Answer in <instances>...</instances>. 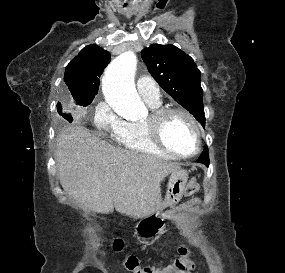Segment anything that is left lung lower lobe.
<instances>
[{"mask_svg": "<svg viewBox=\"0 0 285 273\" xmlns=\"http://www.w3.org/2000/svg\"><path fill=\"white\" fill-rule=\"evenodd\" d=\"M198 162L204 163L206 166H209V155L207 150L203 151L199 159L197 160Z\"/></svg>", "mask_w": 285, "mask_h": 273, "instance_id": "left-lung-lower-lobe-1", "label": "left lung lower lobe"}]
</instances>
